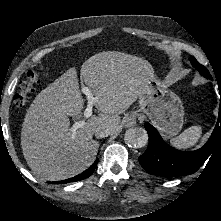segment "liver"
<instances>
[{
    "label": "liver",
    "mask_w": 221,
    "mask_h": 221,
    "mask_svg": "<svg viewBox=\"0 0 221 221\" xmlns=\"http://www.w3.org/2000/svg\"><path fill=\"white\" fill-rule=\"evenodd\" d=\"M81 77L101 112L87 119L73 133L70 117H80L84 98L77 72L70 68L42 90L30 105L22 125L21 147L32 173L42 180L66 179L95 159L99 142L93 139L97 128L117 132L120 114L139 97L148 78L154 77L151 64L130 54L106 51L87 59Z\"/></svg>",
    "instance_id": "1"
}]
</instances>
